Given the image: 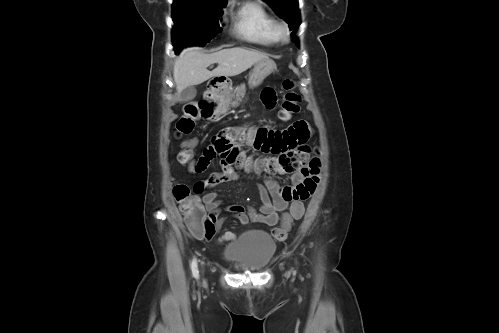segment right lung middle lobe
<instances>
[{"label":"right lung middle lobe","mask_w":499,"mask_h":333,"mask_svg":"<svg viewBox=\"0 0 499 333\" xmlns=\"http://www.w3.org/2000/svg\"><path fill=\"white\" fill-rule=\"evenodd\" d=\"M227 0H174L173 45L178 52L186 46H205L222 29L219 18Z\"/></svg>","instance_id":"1"}]
</instances>
